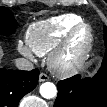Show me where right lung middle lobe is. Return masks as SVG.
<instances>
[{
  "label": "right lung middle lobe",
  "mask_w": 107,
  "mask_h": 107,
  "mask_svg": "<svg viewBox=\"0 0 107 107\" xmlns=\"http://www.w3.org/2000/svg\"><path fill=\"white\" fill-rule=\"evenodd\" d=\"M16 27L17 22L12 12L5 7H0V34L11 35L15 32Z\"/></svg>",
  "instance_id": "dd1d6c3e"
}]
</instances>
